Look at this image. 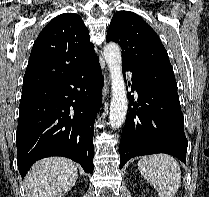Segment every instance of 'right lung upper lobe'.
Returning <instances> with one entry per match:
<instances>
[{"mask_svg": "<svg viewBox=\"0 0 209 197\" xmlns=\"http://www.w3.org/2000/svg\"><path fill=\"white\" fill-rule=\"evenodd\" d=\"M89 39L79 15L63 13L51 20L33 45L22 93L54 84L97 58Z\"/></svg>", "mask_w": 209, "mask_h": 197, "instance_id": "cb5924a9", "label": "right lung upper lobe"}]
</instances>
